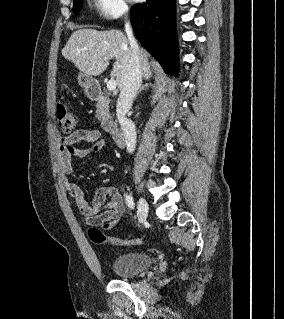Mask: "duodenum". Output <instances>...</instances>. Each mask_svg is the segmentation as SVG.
Instances as JSON below:
<instances>
[{
  "label": "duodenum",
  "instance_id": "1",
  "mask_svg": "<svg viewBox=\"0 0 284 319\" xmlns=\"http://www.w3.org/2000/svg\"><path fill=\"white\" fill-rule=\"evenodd\" d=\"M89 96L95 101H103L104 97L99 90L94 87L89 89ZM103 129L108 132L118 146H123L125 143V138L121 130L117 127L115 122L111 119H104L102 122Z\"/></svg>",
  "mask_w": 284,
  "mask_h": 319
}]
</instances>
